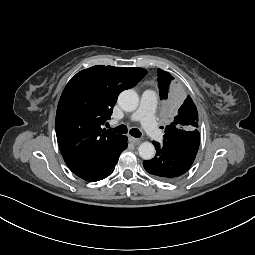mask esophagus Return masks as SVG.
Masks as SVG:
<instances>
[{
	"label": "esophagus",
	"mask_w": 255,
	"mask_h": 255,
	"mask_svg": "<svg viewBox=\"0 0 255 255\" xmlns=\"http://www.w3.org/2000/svg\"><path fill=\"white\" fill-rule=\"evenodd\" d=\"M129 141L132 143V144H135V145H137V144H139L140 142H141V140L140 139H138V138H135V137H129Z\"/></svg>",
	"instance_id": "34e87169"
}]
</instances>
